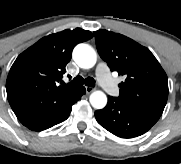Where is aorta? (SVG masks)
<instances>
[{"instance_id": "obj_1", "label": "aorta", "mask_w": 181, "mask_h": 164, "mask_svg": "<svg viewBox=\"0 0 181 164\" xmlns=\"http://www.w3.org/2000/svg\"><path fill=\"white\" fill-rule=\"evenodd\" d=\"M73 59L83 69L92 68L97 61L95 50L87 44H79L73 50ZM89 101L93 108L102 109L107 104V96L104 92L96 90L91 93Z\"/></svg>"}]
</instances>
